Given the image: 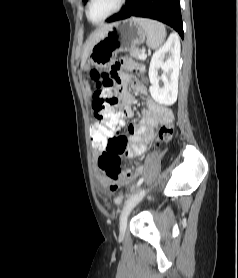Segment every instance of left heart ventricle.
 <instances>
[{"label": "left heart ventricle", "mask_w": 238, "mask_h": 278, "mask_svg": "<svg viewBox=\"0 0 238 278\" xmlns=\"http://www.w3.org/2000/svg\"><path fill=\"white\" fill-rule=\"evenodd\" d=\"M119 0H92L89 7V16L93 21H99L111 13Z\"/></svg>", "instance_id": "obj_1"}]
</instances>
